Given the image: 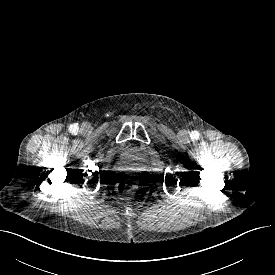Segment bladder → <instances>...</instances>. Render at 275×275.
Instances as JSON below:
<instances>
[{
  "label": "bladder",
  "instance_id": "1",
  "mask_svg": "<svg viewBox=\"0 0 275 275\" xmlns=\"http://www.w3.org/2000/svg\"><path fill=\"white\" fill-rule=\"evenodd\" d=\"M116 167L118 172L123 177L135 179L140 177L145 172L147 160L145 155L140 150L128 148L123 150L118 155Z\"/></svg>",
  "mask_w": 275,
  "mask_h": 275
}]
</instances>
